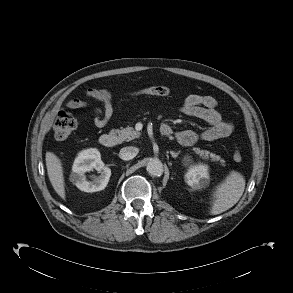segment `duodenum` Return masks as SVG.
I'll return each mask as SVG.
<instances>
[{"label": "duodenum", "mask_w": 293, "mask_h": 293, "mask_svg": "<svg viewBox=\"0 0 293 293\" xmlns=\"http://www.w3.org/2000/svg\"><path fill=\"white\" fill-rule=\"evenodd\" d=\"M161 133L163 135H168V133L166 131H163V130H161ZM99 142L104 148H113L117 143V139H116V136L114 134L105 133V134L100 136Z\"/></svg>", "instance_id": "410a0bca"}]
</instances>
